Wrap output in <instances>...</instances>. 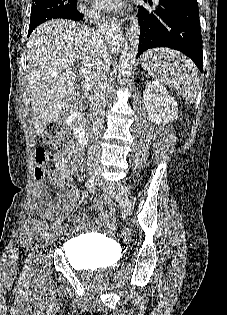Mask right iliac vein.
<instances>
[{"instance_id": "right-iliac-vein-1", "label": "right iliac vein", "mask_w": 227, "mask_h": 315, "mask_svg": "<svg viewBox=\"0 0 227 315\" xmlns=\"http://www.w3.org/2000/svg\"><path fill=\"white\" fill-rule=\"evenodd\" d=\"M89 175H90V177H95V176L97 175L96 170H91V171L89 172ZM64 230H65V228H64V226H62V225L56 227L55 230H54V233H53L52 236H51V240L55 239L58 235L62 234V233L64 232ZM41 260H42V253H40V254L37 256V258H36V260H35V263L38 265V264L41 263Z\"/></svg>"}]
</instances>
